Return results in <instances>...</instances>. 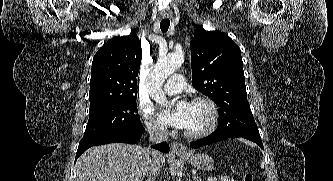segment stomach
<instances>
[{
    "mask_svg": "<svg viewBox=\"0 0 333 181\" xmlns=\"http://www.w3.org/2000/svg\"><path fill=\"white\" fill-rule=\"evenodd\" d=\"M188 160L189 164L199 170H211L214 165L212 157L207 154L180 155Z\"/></svg>",
    "mask_w": 333,
    "mask_h": 181,
    "instance_id": "1",
    "label": "stomach"
}]
</instances>
